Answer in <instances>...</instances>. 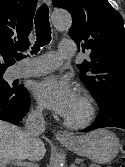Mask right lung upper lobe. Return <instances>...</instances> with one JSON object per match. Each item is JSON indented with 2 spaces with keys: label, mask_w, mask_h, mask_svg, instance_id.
Segmentation results:
<instances>
[{
  "label": "right lung upper lobe",
  "mask_w": 125,
  "mask_h": 167,
  "mask_svg": "<svg viewBox=\"0 0 125 167\" xmlns=\"http://www.w3.org/2000/svg\"><path fill=\"white\" fill-rule=\"evenodd\" d=\"M36 5L37 0H0V72L15 63L14 53L29 47Z\"/></svg>",
  "instance_id": "obj_1"
}]
</instances>
